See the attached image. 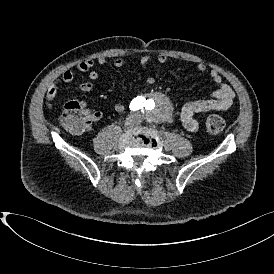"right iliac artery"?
Returning <instances> with one entry per match:
<instances>
[{
	"mask_svg": "<svg viewBox=\"0 0 274 274\" xmlns=\"http://www.w3.org/2000/svg\"><path fill=\"white\" fill-rule=\"evenodd\" d=\"M142 108V101L141 99L135 98L132 100L131 104H130V109L133 111L139 110Z\"/></svg>",
	"mask_w": 274,
	"mask_h": 274,
	"instance_id": "82829eb1",
	"label": "right iliac artery"
}]
</instances>
